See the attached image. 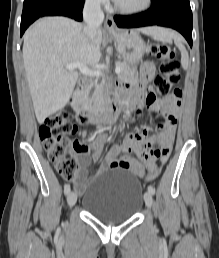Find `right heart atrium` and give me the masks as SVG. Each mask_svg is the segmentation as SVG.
Returning <instances> with one entry per match:
<instances>
[{
  "label": "right heart atrium",
  "mask_w": 219,
  "mask_h": 258,
  "mask_svg": "<svg viewBox=\"0 0 219 258\" xmlns=\"http://www.w3.org/2000/svg\"><path fill=\"white\" fill-rule=\"evenodd\" d=\"M86 1L93 6H102L107 3V0H86Z\"/></svg>",
  "instance_id": "obj_1"
}]
</instances>
